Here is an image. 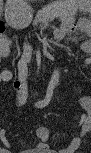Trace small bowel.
Returning a JSON list of instances; mask_svg holds the SVG:
<instances>
[{"instance_id": "small-bowel-1", "label": "small bowel", "mask_w": 91, "mask_h": 153, "mask_svg": "<svg viewBox=\"0 0 91 153\" xmlns=\"http://www.w3.org/2000/svg\"><path fill=\"white\" fill-rule=\"evenodd\" d=\"M1 53L3 56H6L8 54V46H3ZM2 77L4 80H10L12 76L10 73L4 72L2 74ZM26 77H27V59L23 57L18 62V76L15 80H13V83H12L15 89L14 102L16 105L23 104L27 98L28 90H27ZM79 102H80V106L85 112H87L90 109L91 102L88 96H82ZM90 129H91L90 120L87 116H85L82 119V122L80 125L79 136L76 137L72 141V143L66 149L63 150V152H67V153L75 152L79 148L82 142V139L90 131ZM36 134L40 142L38 143L34 151L42 152V153L50 152L51 149L49 145L46 143V141L49 138L48 131L42 128V129H38ZM6 151L7 150L4 149V152Z\"/></svg>"}]
</instances>
